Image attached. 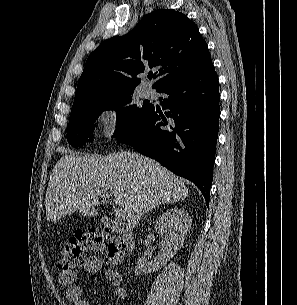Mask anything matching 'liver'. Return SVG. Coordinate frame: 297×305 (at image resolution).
I'll return each mask as SVG.
<instances>
[{
    "label": "liver",
    "mask_w": 297,
    "mask_h": 305,
    "mask_svg": "<svg viewBox=\"0 0 297 305\" xmlns=\"http://www.w3.org/2000/svg\"><path fill=\"white\" fill-rule=\"evenodd\" d=\"M108 190L115 204L123 207L130 228L149 210L182 201L189 194L183 179L137 153L108 156L70 153L60 158L50 175L46 219L56 221L74 210L83 216H97L99 196Z\"/></svg>",
    "instance_id": "obj_1"
}]
</instances>
